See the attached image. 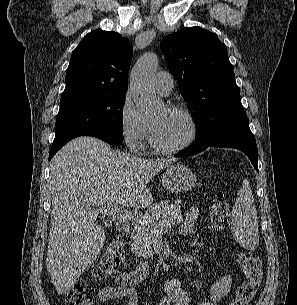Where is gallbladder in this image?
<instances>
[{
	"label": "gallbladder",
	"mask_w": 297,
	"mask_h": 305,
	"mask_svg": "<svg viewBox=\"0 0 297 305\" xmlns=\"http://www.w3.org/2000/svg\"><path fill=\"white\" fill-rule=\"evenodd\" d=\"M109 226H110V223L106 222L105 227H109Z\"/></svg>",
	"instance_id": "obj_1"
}]
</instances>
